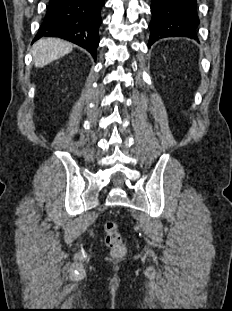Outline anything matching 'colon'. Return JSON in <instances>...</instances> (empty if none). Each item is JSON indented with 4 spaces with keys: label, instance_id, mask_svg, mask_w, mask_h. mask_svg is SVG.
<instances>
[{
    "label": "colon",
    "instance_id": "colon-1",
    "mask_svg": "<svg viewBox=\"0 0 232 311\" xmlns=\"http://www.w3.org/2000/svg\"><path fill=\"white\" fill-rule=\"evenodd\" d=\"M105 244L114 258L124 256L126 252L125 244L122 241L118 226L113 221L104 224Z\"/></svg>",
    "mask_w": 232,
    "mask_h": 311
}]
</instances>
